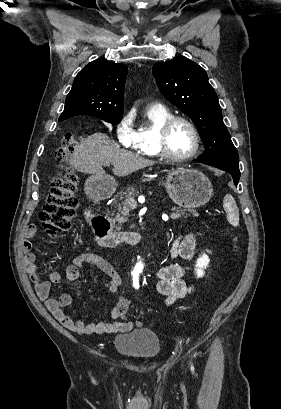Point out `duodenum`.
<instances>
[{"label":"duodenum","instance_id":"obj_1","mask_svg":"<svg viewBox=\"0 0 281 409\" xmlns=\"http://www.w3.org/2000/svg\"><path fill=\"white\" fill-rule=\"evenodd\" d=\"M84 216L91 229L93 238L104 247H114L118 244L135 245L139 242V234L136 232H111L107 220L102 214L93 213L86 209Z\"/></svg>","mask_w":281,"mask_h":409}]
</instances>
